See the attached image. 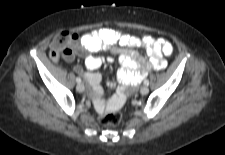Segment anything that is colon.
<instances>
[{
	"instance_id": "obj_1",
	"label": "colon",
	"mask_w": 225,
	"mask_h": 155,
	"mask_svg": "<svg viewBox=\"0 0 225 155\" xmlns=\"http://www.w3.org/2000/svg\"><path fill=\"white\" fill-rule=\"evenodd\" d=\"M72 35L67 32L57 34L50 47V56L53 60H58L59 57H65L70 54L67 43L70 42ZM100 123L109 126H118L122 123V115L118 113H109L107 110L102 113Z\"/></svg>"
}]
</instances>
